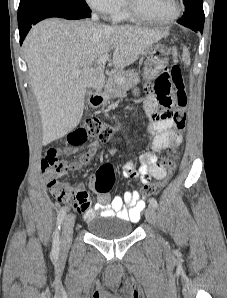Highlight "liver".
Masks as SVG:
<instances>
[{
  "label": "liver",
  "instance_id": "6515ba94",
  "mask_svg": "<svg viewBox=\"0 0 227 298\" xmlns=\"http://www.w3.org/2000/svg\"><path fill=\"white\" fill-rule=\"evenodd\" d=\"M168 36L150 28L109 26L90 20L46 19L34 26L22 49L42 123V145L64 137L80 123L87 87L100 91L104 66L94 64L111 54L122 70L151 45ZM80 70L79 76L73 71Z\"/></svg>",
  "mask_w": 227,
  "mask_h": 298
}]
</instances>
